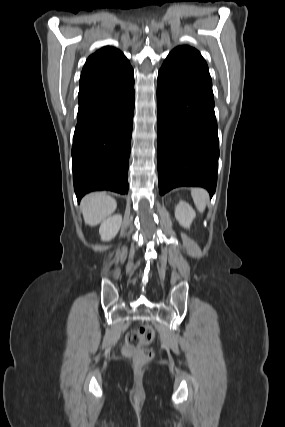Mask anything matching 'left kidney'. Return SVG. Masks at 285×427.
<instances>
[{
    "mask_svg": "<svg viewBox=\"0 0 285 427\" xmlns=\"http://www.w3.org/2000/svg\"><path fill=\"white\" fill-rule=\"evenodd\" d=\"M196 216L193 208L185 201H180L175 207V218L184 228H190L192 221Z\"/></svg>",
    "mask_w": 285,
    "mask_h": 427,
    "instance_id": "left-kidney-1",
    "label": "left kidney"
}]
</instances>
